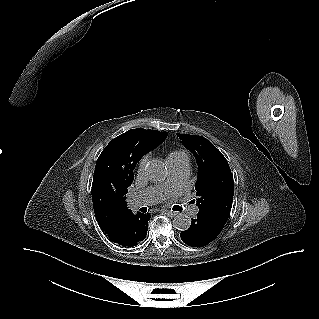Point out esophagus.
I'll return each instance as SVG.
<instances>
[{
    "label": "esophagus",
    "mask_w": 319,
    "mask_h": 319,
    "mask_svg": "<svg viewBox=\"0 0 319 319\" xmlns=\"http://www.w3.org/2000/svg\"><path fill=\"white\" fill-rule=\"evenodd\" d=\"M165 214H167L169 217H174L176 215V212L170 211V210H163Z\"/></svg>",
    "instance_id": "obj_1"
}]
</instances>
